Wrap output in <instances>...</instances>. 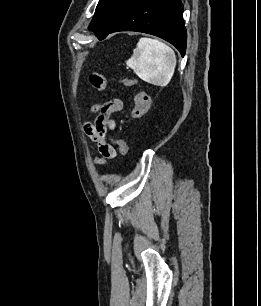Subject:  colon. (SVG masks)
Returning <instances> with one entry per match:
<instances>
[{
    "mask_svg": "<svg viewBox=\"0 0 261 306\" xmlns=\"http://www.w3.org/2000/svg\"><path fill=\"white\" fill-rule=\"evenodd\" d=\"M90 85L97 91H104L108 86V79L98 72H92L88 76ZM126 86H133L134 80H124ZM150 96L146 91L139 90L134 97V107L130 112L131 118L142 117L150 107ZM113 145L117 146L122 155H128L130 148L129 145L122 139H113Z\"/></svg>",
    "mask_w": 261,
    "mask_h": 306,
    "instance_id": "1",
    "label": "colon"
}]
</instances>
